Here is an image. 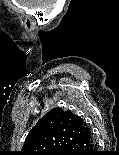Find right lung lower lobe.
Listing matches in <instances>:
<instances>
[{"label": "right lung lower lobe", "instance_id": "98d812e1", "mask_svg": "<svg viewBox=\"0 0 119 155\" xmlns=\"http://www.w3.org/2000/svg\"><path fill=\"white\" fill-rule=\"evenodd\" d=\"M60 155H96V144L90 130L69 144Z\"/></svg>", "mask_w": 119, "mask_h": 155}]
</instances>
